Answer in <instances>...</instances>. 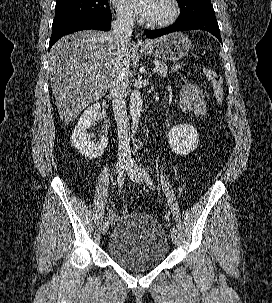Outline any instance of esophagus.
<instances>
[{
	"mask_svg": "<svg viewBox=\"0 0 272 303\" xmlns=\"http://www.w3.org/2000/svg\"><path fill=\"white\" fill-rule=\"evenodd\" d=\"M136 45L138 47H145V46H147V42L144 41L143 39H138L137 42H136Z\"/></svg>",
	"mask_w": 272,
	"mask_h": 303,
	"instance_id": "1",
	"label": "esophagus"
}]
</instances>
